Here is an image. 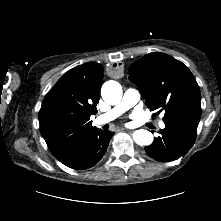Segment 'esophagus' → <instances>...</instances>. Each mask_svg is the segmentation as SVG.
I'll list each match as a JSON object with an SVG mask.
<instances>
[{
  "mask_svg": "<svg viewBox=\"0 0 221 221\" xmlns=\"http://www.w3.org/2000/svg\"><path fill=\"white\" fill-rule=\"evenodd\" d=\"M124 130H125V129H123V128L121 129V131H124ZM127 131H128V130H127Z\"/></svg>",
  "mask_w": 221,
  "mask_h": 221,
  "instance_id": "1",
  "label": "esophagus"
}]
</instances>
